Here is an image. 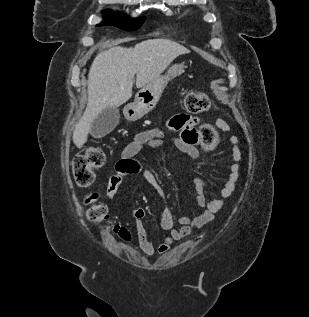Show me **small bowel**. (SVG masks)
<instances>
[{
	"mask_svg": "<svg viewBox=\"0 0 309 317\" xmlns=\"http://www.w3.org/2000/svg\"><path fill=\"white\" fill-rule=\"evenodd\" d=\"M200 121L199 118L187 114H177L172 116L166 124L167 130L172 135L167 136L159 128L146 130L137 134L121 152L120 159L116 164V172L110 176L107 183V197L111 200L115 197L123 178L129 174L141 172L146 180L155 183L152 172L142 169L140 163L136 160V156L144 149L172 147L178 152L186 154L191 160H196L199 156L198 146L201 143L200 133L197 130V125ZM216 125L222 131L227 132L230 130L229 124L222 119H218ZM229 143L233 161L228 165V176L220 190L219 197L208 201L204 194V181L202 178L196 177L194 180L196 186V205L202 211L193 219H190L188 216L178 217L177 222L180 226L175 228L172 210L171 208H167L162 215L160 225L163 230L169 233L157 247L149 239L142 222L145 217V210L143 208L134 210L135 229L140 248L144 254L149 257L154 256L155 253L166 254L174 243L180 242L190 235L193 229L201 228L212 221L215 214L224 206L225 199L234 193L240 177L242 153L239 148L238 137L232 136L229 139Z\"/></svg>",
	"mask_w": 309,
	"mask_h": 317,
	"instance_id": "obj_1",
	"label": "small bowel"
}]
</instances>
